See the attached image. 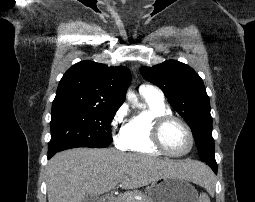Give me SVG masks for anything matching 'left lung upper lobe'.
<instances>
[{
    "label": "left lung upper lobe",
    "instance_id": "left-lung-upper-lobe-1",
    "mask_svg": "<svg viewBox=\"0 0 255 202\" xmlns=\"http://www.w3.org/2000/svg\"><path fill=\"white\" fill-rule=\"evenodd\" d=\"M140 72L164 92L170 105L188 123L200 159L215 161L210 102L200 76L188 65L176 60L141 67Z\"/></svg>",
    "mask_w": 255,
    "mask_h": 202
}]
</instances>
